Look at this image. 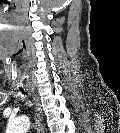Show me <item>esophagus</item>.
<instances>
[{"mask_svg": "<svg viewBox=\"0 0 120 133\" xmlns=\"http://www.w3.org/2000/svg\"><path fill=\"white\" fill-rule=\"evenodd\" d=\"M32 98H33V102H34V105H35V122H36V126L38 128V131L40 133H44V128H43V125H42V120H43V117H42V110H41V106H40V103H39V99L36 95L32 94Z\"/></svg>", "mask_w": 120, "mask_h": 133, "instance_id": "esophagus-1", "label": "esophagus"}]
</instances>
